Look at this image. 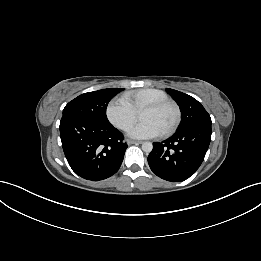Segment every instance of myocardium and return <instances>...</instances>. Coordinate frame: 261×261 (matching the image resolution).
Instances as JSON below:
<instances>
[{
	"label": "myocardium",
	"instance_id": "1",
	"mask_svg": "<svg viewBox=\"0 0 261 261\" xmlns=\"http://www.w3.org/2000/svg\"><path fill=\"white\" fill-rule=\"evenodd\" d=\"M168 107H170L174 110L175 116H174V120L171 123V125L163 132V135H169V134L173 133L179 126L180 120H181V111H180L178 105L173 101L165 100V101L150 103L144 107V110L145 109L161 110V109L168 108Z\"/></svg>",
	"mask_w": 261,
	"mask_h": 261
}]
</instances>
